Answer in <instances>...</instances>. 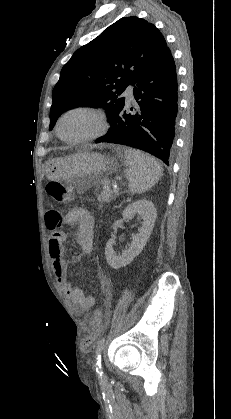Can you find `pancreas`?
<instances>
[{
  "label": "pancreas",
  "instance_id": "1",
  "mask_svg": "<svg viewBox=\"0 0 231 419\" xmlns=\"http://www.w3.org/2000/svg\"><path fill=\"white\" fill-rule=\"evenodd\" d=\"M113 198L114 197H113L112 190L110 188L108 189L107 186L105 185L103 187L101 194L98 196V200L101 203H107V202H110Z\"/></svg>",
  "mask_w": 231,
  "mask_h": 419
}]
</instances>
